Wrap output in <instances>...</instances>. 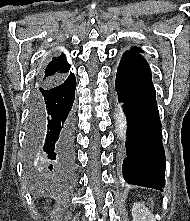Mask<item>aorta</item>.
<instances>
[{
	"label": "aorta",
	"mask_w": 190,
	"mask_h": 221,
	"mask_svg": "<svg viewBox=\"0 0 190 221\" xmlns=\"http://www.w3.org/2000/svg\"><path fill=\"white\" fill-rule=\"evenodd\" d=\"M117 109L115 113V121H116V131L119 138L125 139L126 138V129H127V121L125 113L121 107V104L117 102L116 104Z\"/></svg>",
	"instance_id": "obj_1"
}]
</instances>
